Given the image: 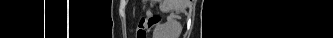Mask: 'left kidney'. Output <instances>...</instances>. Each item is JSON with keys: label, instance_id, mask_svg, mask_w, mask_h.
<instances>
[{"label": "left kidney", "instance_id": "left-kidney-1", "mask_svg": "<svg viewBox=\"0 0 333 38\" xmlns=\"http://www.w3.org/2000/svg\"><path fill=\"white\" fill-rule=\"evenodd\" d=\"M182 31L181 24L173 18H167V21L156 28L160 38H179Z\"/></svg>", "mask_w": 333, "mask_h": 38}]
</instances>
